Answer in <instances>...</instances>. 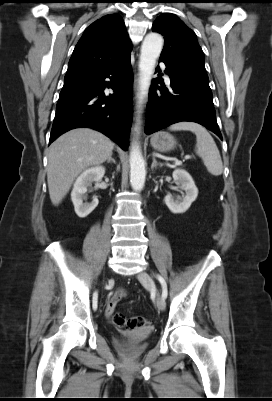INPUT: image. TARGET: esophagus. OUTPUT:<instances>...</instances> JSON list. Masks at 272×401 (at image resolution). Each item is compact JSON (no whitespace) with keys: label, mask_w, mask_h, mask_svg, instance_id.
<instances>
[{"label":"esophagus","mask_w":272,"mask_h":401,"mask_svg":"<svg viewBox=\"0 0 272 401\" xmlns=\"http://www.w3.org/2000/svg\"><path fill=\"white\" fill-rule=\"evenodd\" d=\"M137 87H138L137 79H135V84H134L135 97H137ZM142 123H143L142 119H139V126H140V127H141Z\"/></svg>","instance_id":"1"}]
</instances>
